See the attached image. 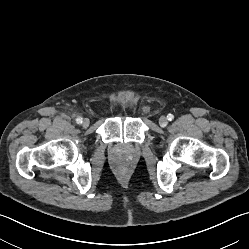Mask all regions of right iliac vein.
Here are the masks:
<instances>
[{"instance_id": "63e3f726", "label": "right iliac vein", "mask_w": 249, "mask_h": 249, "mask_svg": "<svg viewBox=\"0 0 249 249\" xmlns=\"http://www.w3.org/2000/svg\"><path fill=\"white\" fill-rule=\"evenodd\" d=\"M89 124H90V120H89L88 118H85V119L83 120V123H82L83 127H88Z\"/></svg>"}]
</instances>
